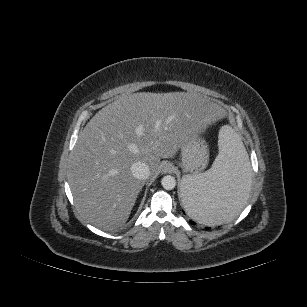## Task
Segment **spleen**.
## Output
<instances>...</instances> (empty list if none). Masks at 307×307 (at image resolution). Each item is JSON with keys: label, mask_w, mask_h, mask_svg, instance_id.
Instances as JSON below:
<instances>
[{"label": "spleen", "mask_w": 307, "mask_h": 307, "mask_svg": "<svg viewBox=\"0 0 307 307\" xmlns=\"http://www.w3.org/2000/svg\"><path fill=\"white\" fill-rule=\"evenodd\" d=\"M219 154L204 173L186 175L181 200L195 221L215 226L231 221L245 206L250 192L251 168L240 137L223 126L218 137Z\"/></svg>", "instance_id": "1"}]
</instances>
